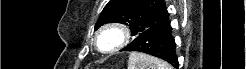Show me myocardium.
Masks as SVG:
<instances>
[{"label":"myocardium","mask_w":246,"mask_h":69,"mask_svg":"<svg viewBox=\"0 0 246 69\" xmlns=\"http://www.w3.org/2000/svg\"><path fill=\"white\" fill-rule=\"evenodd\" d=\"M108 32L114 33L117 36L118 43L110 50L103 51L102 53H113L115 51L124 48L129 43L130 40L129 29L125 25L120 23H110L104 25L99 31H97L95 35L94 43L98 49H101V44L99 40L100 37Z\"/></svg>","instance_id":"f54148a6"}]
</instances>
